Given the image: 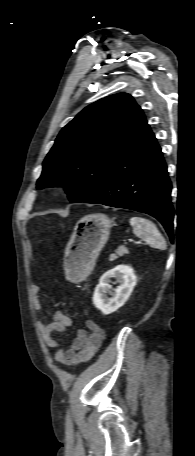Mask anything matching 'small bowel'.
Masks as SVG:
<instances>
[{"instance_id": "small-bowel-1", "label": "small bowel", "mask_w": 195, "mask_h": 456, "mask_svg": "<svg viewBox=\"0 0 195 456\" xmlns=\"http://www.w3.org/2000/svg\"><path fill=\"white\" fill-rule=\"evenodd\" d=\"M41 287L34 284L30 288L31 302L35 310L40 311ZM72 325L71 319L62 311H56L51 315L49 322L39 324L42 338L51 349H57L55 361L67 366H75L91 359L97 352L103 341V331L93 320L86 322L87 329L78 330L71 345L64 348L62 344L52 337L53 332H66Z\"/></svg>"}]
</instances>
